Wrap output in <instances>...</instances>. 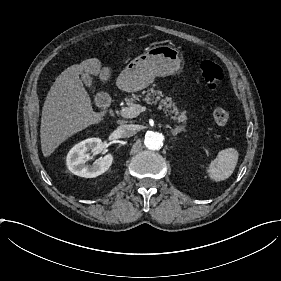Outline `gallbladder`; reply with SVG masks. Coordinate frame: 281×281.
<instances>
[{"label": "gallbladder", "instance_id": "bac80fb5", "mask_svg": "<svg viewBox=\"0 0 281 281\" xmlns=\"http://www.w3.org/2000/svg\"><path fill=\"white\" fill-rule=\"evenodd\" d=\"M82 80L86 86H91L92 78L88 74H84Z\"/></svg>", "mask_w": 281, "mask_h": 281}]
</instances>
